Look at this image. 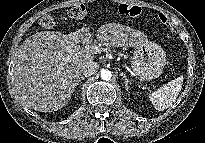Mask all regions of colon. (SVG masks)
I'll return each instance as SVG.
<instances>
[{
    "label": "colon",
    "mask_w": 205,
    "mask_h": 143,
    "mask_svg": "<svg viewBox=\"0 0 205 143\" xmlns=\"http://www.w3.org/2000/svg\"><path fill=\"white\" fill-rule=\"evenodd\" d=\"M118 10L121 15L128 17L138 16L141 13L140 7L128 4H121ZM67 13L70 18L74 20H81L86 16V8L83 4H74L68 8ZM160 17L166 25L169 24L167 19L161 15ZM55 23V18L51 14L44 15L39 21L40 26L44 29L53 28Z\"/></svg>",
    "instance_id": "5ec220e1"
}]
</instances>
